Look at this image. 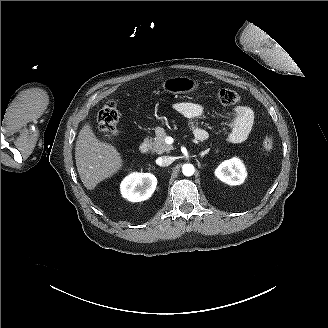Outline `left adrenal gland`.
Listing matches in <instances>:
<instances>
[{
	"mask_svg": "<svg viewBox=\"0 0 328 328\" xmlns=\"http://www.w3.org/2000/svg\"><path fill=\"white\" fill-rule=\"evenodd\" d=\"M204 153V155H207L208 153H209V151L207 150V151H205V152H203Z\"/></svg>",
	"mask_w": 328,
	"mask_h": 328,
	"instance_id": "left-adrenal-gland-1",
	"label": "left adrenal gland"
}]
</instances>
